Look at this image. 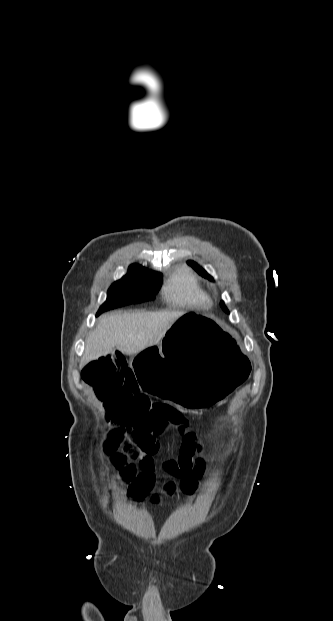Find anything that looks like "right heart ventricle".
<instances>
[{"mask_svg": "<svg viewBox=\"0 0 333 621\" xmlns=\"http://www.w3.org/2000/svg\"><path fill=\"white\" fill-rule=\"evenodd\" d=\"M164 296L168 301L190 307H206L211 302L198 278L185 269L171 275L164 287Z\"/></svg>", "mask_w": 333, "mask_h": 621, "instance_id": "e07e8e85", "label": "right heart ventricle"}]
</instances>
